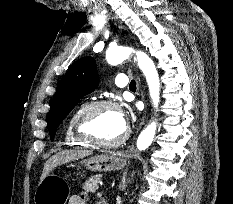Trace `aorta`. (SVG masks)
Masks as SVG:
<instances>
[{"label": "aorta", "mask_w": 233, "mask_h": 204, "mask_svg": "<svg viewBox=\"0 0 233 204\" xmlns=\"http://www.w3.org/2000/svg\"><path fill=\"white\" fill-rule=\"evenodd\" d=\"M132 53H136L137 63L141 71L143 72L150 92V97L154 107L157 109L160 99V81L157 69L152 59L141 51H134L132 48L119 46L108 49L106 53V60L110 65H118L129 58ZM156 133V122L152 121L147 125L140 133L136 146L138 150L143 151L147 149Z\"/></svg>", "instance_id": "1"}]
</instances>
